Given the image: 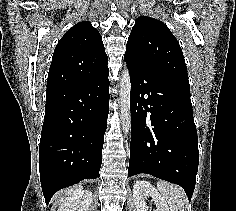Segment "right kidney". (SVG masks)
<instances>
[{
    "mask_svg": "<svg viewBox=\"0 0 236 211\" xmlns=\"http://www.w3.org/2000/svg\"><path fill=\"white\" fill-rule=\"evenodd\" d=\"M92 202V192L82 190L67 198L59 207L58 211H89Z\"/></svg>",
    "mask_w": 236,
    "mask_h": 211,
    "instance_id": "1",
    "label": "right kidney"
}]
</instances>
